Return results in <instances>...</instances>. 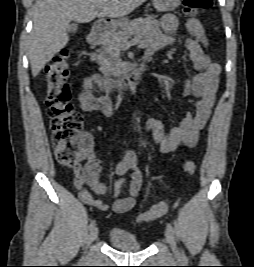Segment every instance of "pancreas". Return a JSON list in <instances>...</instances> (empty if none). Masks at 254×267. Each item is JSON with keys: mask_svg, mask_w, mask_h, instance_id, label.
<instances>
[{"mask_svg": "<svg viewBox=\"0 0 254 267\" xmlns=\"http://www.w3.org/2000/svg\"><path fill=\"white\" fill-rule=\"evenodd\" d=\"M158 27V21L152 16L137 18L123 26L121 30L108 33L102 40V48L92 55V59L98 62L102 73L119 75L125 68L119 61L123 45L128 43L131 36L148 37Z\"/></svg>", "mask_w": 254, "mask_h": 267, "instance_id": "obj_1", "label": "pancreas"}]
</instances>
